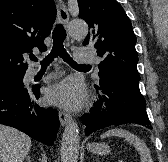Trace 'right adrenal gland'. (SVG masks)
Returning a JSON list of instances; mask_svg holds the SVG:
<instances>
[{
    "mask_svg": "<svg viewBox=\"0 0 168 162\" xmlns=\"http://www.w3.org/2000/svg\"><path fill=\"white\" fill-rule=\"evenodd\" d=\"M26 161H27V162H31V161H32V160H31V157H30V156H27V157H26Z\"/></svg>",
    "mask_w": 168,
    "mask_h": 162,
    "instance_id": "2a0ac1e0",
    "label": "right adrenal gland"
}]
</instances>
